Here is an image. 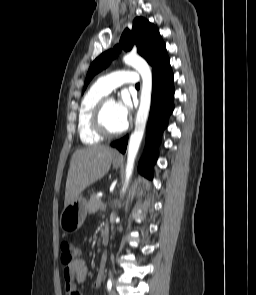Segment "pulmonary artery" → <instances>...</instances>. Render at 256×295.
Segmentation results:
<instances>
[{"label":"pulmonary artery","mask_w":256,"mask_h":295,"mask_svg":"<svg viewBox=\"0 0 256 295\" xmlns=\"http://www.w3.org/2000/svg\"><path fill=\"white\" fill-rule=\"evenodd\" d=\"M139 81L138 73L135 71L118 70L100 77L96 85L105 93H110L123 84H136Z\"/></svg>","instance_id":"1"}]
</instances>
